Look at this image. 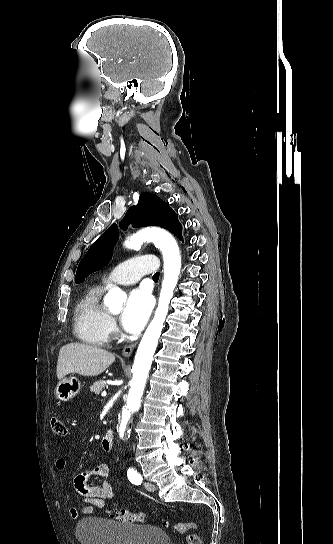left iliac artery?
<instances>
[{"label":"left iliac artery","instance_id":"left-iliac-artery-1","mask_svg":"<svg viewBox=\"0 0 333 544\" xmlns=\"http://www.w3.org/2000/svg\"><path fill=\"white\" fill-rule=\"evenodd\" d=\"M127 476L129 481L134 485H140L142 483V477L134 468H128Z\"/></svg>","mask_w":333,"mask_h":544}]
</instances>
